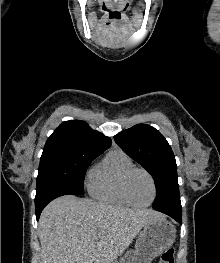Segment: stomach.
Wrapping results in <instances>:
<instances>
[{
	"mask_svg": "<svg viewBox=\"0 0 220 263\" xmlns=\"http://www.w3.org/2000/svg\"><path fill=\"white\" fill-rule=\"evenodd\" d=\"M176 229L165 217L158 218L142 228L135 250L128 251L120 263H151L175 241Z\"/></svg>",
	"mask_w": 220,
	"mask_h": 263,
	"instance_id": "1",
	"label": "stomach"
}]
</instances>
